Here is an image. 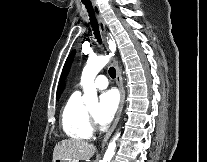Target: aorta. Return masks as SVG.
I'll return each mask as SVG.
<instances>
[{
    "label": "aorta",
    "mask_w": 207,
    "mask_h": 162,
    "mask_svg": "<svg viewBox=\"0 0 207 162\" xmlns=\"http://www.w3.org/2000/svg\"><path fill=\"white\" fill-rule=\"evenodd\" d=\"M109 58V56L103 55L88 58L81 76V85L84 91L83 101L86 105L97 104L98 99L94 79L100 70L109 62ZM119 136L120 134H116L110 141L102 162H110L112 160L116 150V141Z\"/></svg>",
    "instance_id": "762f6f07"
}]
</instances>
